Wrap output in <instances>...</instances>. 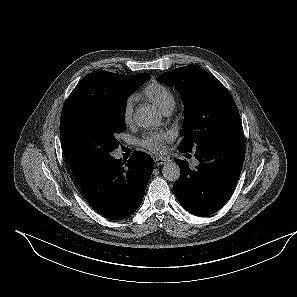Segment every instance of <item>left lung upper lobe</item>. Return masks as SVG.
Segmentation results:
<instances>
[{
    "mask_svg": "<svg viewBox=\"0 0 297 297\" xmlns=\"http://www.w3.org/2000/svg\"><path fill=\"white\" fill-rule=\"evenodd\" d=\"M159 82L175 87L181 94L184 110L182 141L179 150L190 152L242 133L238 108L226 87L213 75L195 66L165 72Z\"/></svg>",
    "mask_w": 297,
    "mask_h": 297,
    "instance_id": "1",
    "label": "left lung upper lobe"
}]
</instances>
